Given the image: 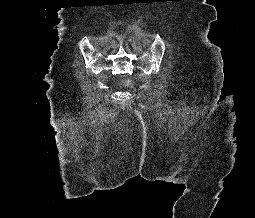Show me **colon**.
<instances>
[{
    "label": "colon",
    "instance_id": "obj_1",
    "mask_svg": "<svg viewBox=\"0 0 255 218\" xmlns=\"http://www.w3.org/2000/svg\"><path fill=\"white\" fill-rule=\"evenodd\" d=\"M123 84H124L125 87H130L131 84H132L131 78H129V77L124 78Z\"/></svg>",
    "mask_w": 255,
    "mask_h": 218
}]
</instances>
